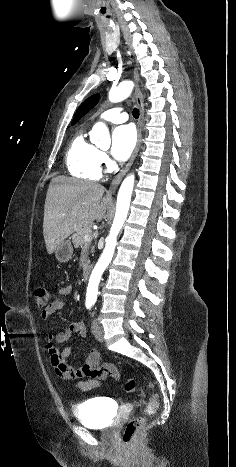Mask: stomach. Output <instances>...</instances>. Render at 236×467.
<instances>
[{"instance_id": "1", "label": "stomach", "mask_w": 236, "mask_h": 467, "mask_svg": "<svg viewBox=\"0 0 236 467\" xmlns=\"http://www.w3.org/2000/svg\"><path fill=\"white\" fill-rule=\"evenodd\" d=\"M72 254L73 247L69 240H64L55 249V257L61 263L68 262L71 259Z\"/></svg>"}]
</instances>
